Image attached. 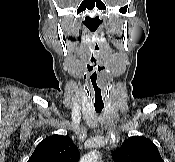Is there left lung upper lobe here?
Returning a JSON list of instances; mask_svg holds the SVG:
<instances>
[{"label": "left lung upper lobe", "instance_id": "1", "mask_svg": "<svg viewBox=\"0 0 175 162\" xmlns=\"http://www.w3.org/2000/svg\"><path fill=\"white\" fill-rule=\"evenodd\" d=\"M112 156L116 162H164L157 146L141 136L129 137Z\"/></svg>", "mask_w": 175, "mask_h": 162}]
</instances>
